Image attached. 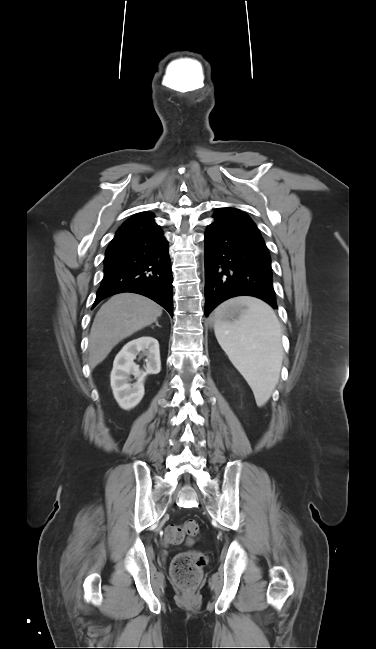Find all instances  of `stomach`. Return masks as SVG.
<instances>
[{"instance_id": "1", "label": "stomach", "mask_w": 376, "mask_h": 649, "mask_svg": "<svg viewBox=\"0 0 376 649\" xmlns=\"http://www.w3.org/2000/svg\"><path fill=\"white\" fill-rule=\"evenodd\" d=\"M221 313L216 316L213 315L212 321L216 323L219 320L222 323H231L237 320L246 311V306L234 303V299L223 304Z\"/></svg>"}]
</instances>
